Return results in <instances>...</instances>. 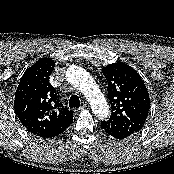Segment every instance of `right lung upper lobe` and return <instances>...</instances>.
<instances>
[{
	"label": "right lung upper lobe",
	"instance_id": "cb5924a9",
	"mask_svg": "<svg viewBox=\"0 0 174 174\" xmlns=\"http://www.w3.org/2000/svg\"><path fill=\"white\" fill-rule=\"evenodd\" d=\"M55 62L42 58L22 76L15 93L14 109L27 130L42 138H52L73 122L72 112L58 99L49 82Z\"/></svg>",
	"mask_w": 174,
	"mask_h": 174
}]
</instances>
